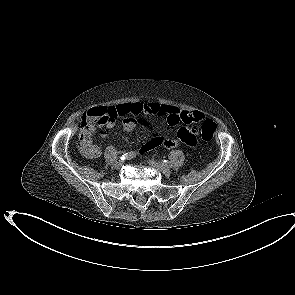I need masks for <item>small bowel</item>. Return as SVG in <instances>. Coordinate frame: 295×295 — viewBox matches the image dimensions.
<instances>
[{
    "mask_svg": "<svg viewBox=\"0 0 295 295\" xmlns=\"http://www.w3.org/2000/svg\"><path fill=\"white\" fill-rule=\"evenodd\" d=\"M105 108L108 112V117L97 123H93L87 127L89 135L95 131L96 128L100 130V134L103 136V128H112L115 124L116 117H123V129L126 132H131L137 125V115L143 114L148 116H158L165 119L168 126L175 128L180 124L193 125L196 122L203 119V115L200 112H190L180 110L174 106L161 104L155 101L147 103H123L116 106L101 107ZM147 126L150 123L144 120ZM195 131L189 128H179L176 136L172 138H166L161 135L151 136L148 142L143 145L141 152L145 153L152 149H158L160 146L166 148H175L179 144L183 143L188 146H194L196 144ZM84 155L88 158H97L100 156V148L90 143L89 150L83 151Z\"/></svg>",
    "mask_w": 295,
    "mask_h": 295,
    "instance_id": "small-bowel-1",
    "label": "small bowel"
}]
</instances>
